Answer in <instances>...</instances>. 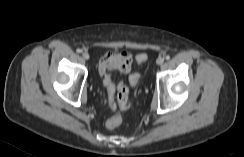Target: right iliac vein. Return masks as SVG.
I'll use <instances>...</instances> for the list:
<instances>
[{"instance_id": "obj_1", "label": "right iliac vein", "mask_w": 244, "mask_h": 157, "mask_svg": "<svg viewBox=\"0 0 244 157\" xmlns=\"http://www.w3.org/2000/svg\"><path fill=\"white\" fill-rule=\"evenodd\" d=\"M82 57L85 59V60H88L89 59V54L87 52H84L82 54Z\"/></svg>"}]
</instances>
